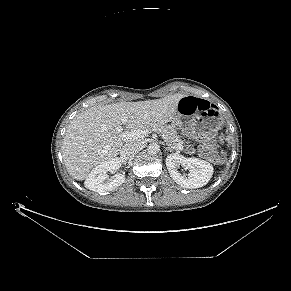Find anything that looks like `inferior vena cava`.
<instances>
[{"mask_svg": "<svg viewBox=\"0 0 291 291\" xmlns=\"http://www.w3.org/2000/svg\"><path fill=\"white\" fill-rule=\"evenodd\" d=\"M139 148H140V143L138 142L127 143L122 147L121 156L129 157L135 154L139 150Z\"/></svg>", "mask_w": 291, "mask_h": 291, "instance_id": "obj_1", "label": "inferior vena cava"}]
</instances>
